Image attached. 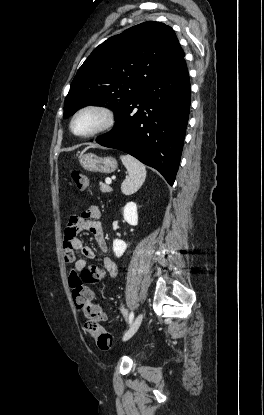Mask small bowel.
<instances>
[{"mask_svg": "<svg viewBox=\"0 0 264 415\" xmlns=\"http://www.w3.org/2000/svg\"><path fill=\"white\" fill-rule=\"evenodd\" d=\"M101 215V210L97 206H91L82 212L80 217L74 223L76 231L88 230L94 237L99 250L103 253L107 251V242L104 236L101 222L98 218ZM76 253H80L81 257L76 258ZM63 258L66 263L72 266V270L80 273L87 265L88 260L95 258L94 250L83 244V242L76 236V232L71 234L68 230L65 232V244L63 248ZM103 265L109 277L114 278L118 273V268L115 261L110 257L103 258ZM92 294L91 290L87 288ZM102 312V310H101ZM106 318L102 312V320Z\"/></svg>", "mask_w": 264, "mask_h": 415, "instance_id": "1", "label": "small bowel"}]
</instances>
